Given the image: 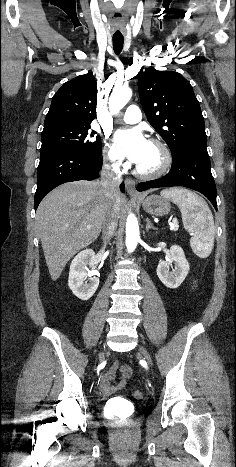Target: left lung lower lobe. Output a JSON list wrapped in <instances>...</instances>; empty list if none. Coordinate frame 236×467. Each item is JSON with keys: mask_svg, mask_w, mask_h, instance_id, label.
<instances>
[{"mask_svg": "<svg viewBox=\"0 0 236 467\" xmlns=\"http://www.w3.org/2000/svg\"><path fill=\"white\" fill-rule=\"evenodd\" d=\"M171 186H184L199 191L217 210L216 186L211 174L206 142H195L185 146L180 154L173 158L171 170L166 176L139 183L137 190Z\"/></svg>", "mask_w": 236, "mask_h": 467, "instance_id": "1", "label": "left lung lower lobe"}]
</instances>
